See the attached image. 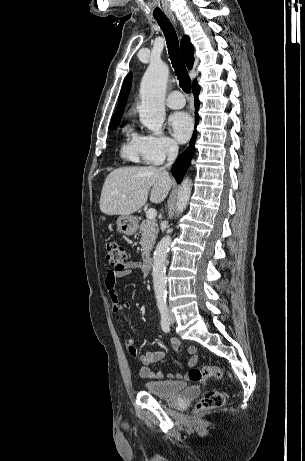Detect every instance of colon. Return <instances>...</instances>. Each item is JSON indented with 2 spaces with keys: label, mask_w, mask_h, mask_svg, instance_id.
Instances as JSON below:
<instances>
[{
  "label": "colon",
  "mask_w": 305,
  "mask_h": 461,
  "mask_svg": "<svg viewBox=\"0 0 305 461\" xmlns=\"http://www.w3.org/2000/svg\"><path fill=\"white\" fill-rule=\"evenodd\" d=\"M106 258L111 266L120 270L124 268L127 261L126 250L116 241H107L105 244ZM222 370L215 366H203L193 368L188 372V379L192 382H201L209 378L221 379ZM225 394L220 390L206 392L196 404V411H207L220 408L224 405Z\"/></svg>",
  "instance_id": "5ec220e1"
}]
</instances>
